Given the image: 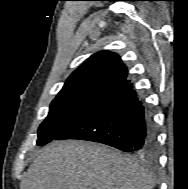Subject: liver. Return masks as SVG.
Masks as SVG:
<instances>
[{"instance_id": "obj_1", "label": "liver", "mask_w": 188, "mask_h": 189, "mask_svg": "<svg viewBox=\"0 0 188 189\" xmlns=\"http://www.w3.org/2000/svg\"><path fill=\"white\" fill-rule=\"evenodd\" d=\"M153 176L133 158L85 141H54L29 166L21 189H152Z\"/></svg>"}]
</instances>
